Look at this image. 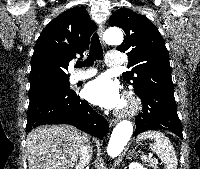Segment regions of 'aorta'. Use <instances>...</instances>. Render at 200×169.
Listing matches in <instances>:
<instances>
[{
    "label": "aorta",
    "instance_id": "obj_1",
    "mask_svg": "<svg viewBox=\"0 0 200 169\" xmlns=\"http://www.w3.org/2000/svg\"><path fill=\"white\" fill-rule=\"evenodd\" d=\"M104 40L109 45H120L123 42V34L119 29H109L104 34ZM133 134V124L128 120L119 122L113 129L109 144L108 155L117 157Z\"/></svg>",
    "mask_w": 200,
    "mask_h": 169
}]
</instances>
